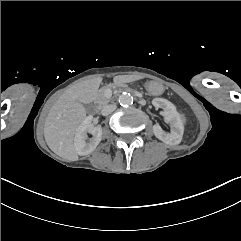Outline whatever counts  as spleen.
Masks as SVG:
<instances>
[{"mask_svg": "<svg viewBox=\"0 0 241 241\" xmlns=\"http://www.w3.org/2000/svg\"><path fill=\"white\" fill-rule=\"evenodd\" d=\"M182 118H183V122H185V118H184V116H182Z\"/></svg>", "mask_w": 241, "mask_h": 241, "instance_id": "1", "label": "spleen"}]
</instances>
